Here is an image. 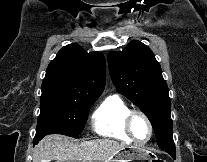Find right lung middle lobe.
<instances>
[{
	"mask_svg": "<svg viewBox=\"0 0 207 162\" xmlns=\"http://www.w3.org/2000/svg\"><path fill=\"white\" fill-rule=\"evenodd\" d=\"M98 97L42 90L35 138L54 133L78 137L87 121L89 109Z\"/></svg>",
	"mask_w": 207,
	"mask_h": 162,
	"instance_id": "obj_1",
	"label": "right lung middle lobe"
}]
</instances>
